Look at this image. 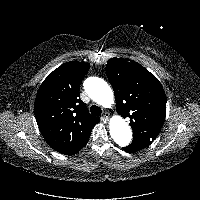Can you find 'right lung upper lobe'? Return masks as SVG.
<instances>
[{
	"label": "right lung upper lobe",
	"instance_id": "1",
	"mask_svg": "<svg viewBox=\"0 0 200 200\" xmlns=\"http://www.w3.org/2000/svg\"><path fill=\"white\" fill-rule=\"evenodd\" d=\"M90 65L67 62L41 84L34 112L40 132L56 151L74 155L88 142L92 128L100 121L79 98L80 83Z\"/></svg>",
	"mask_w": 200,
	"mask_h": 200
}]
</instances>
